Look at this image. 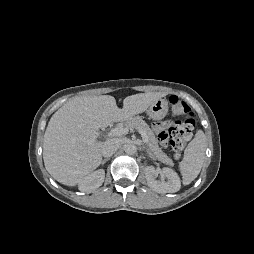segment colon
I'll return each instance as SVG.
<instances>
[{
	"instance_id": "5ec220e1",
	"label": "colon",
	"mask_w": 254,
	"mask_h": 254,
	"mask_svg": "<svg viewBox=\"0 0 254 254\" xmlns=\"http://www.w3.org/2000/svg\"><path fill=\"white\" fill-rule=\"evenodd\" d=\"M172 111L184 117L183 120H175L159 134L161 141L168 143L176 158L181 156L184 147L192 138L196 126L194 114L187 103L175 96L169 98Z\"/></svg>"
}]
</instances>
